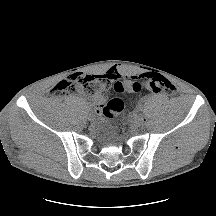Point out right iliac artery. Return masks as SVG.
Masks as SVG:
<instances>
[{"label":"right iliac artery","mask_w":216,"mask_h":216,"mask_svg":"<svg viewBox=\"0 0 216 216\" xmlns=\"http://www.w3.org/2000/svg\"><path fill=\"white\" fill-rule=\"evenodd\" d=\"M86 114H87V115H90V114H91V111H89L87 108H86Z\"/></svg>","instance_id":"1"}]
</instances>
